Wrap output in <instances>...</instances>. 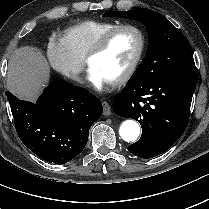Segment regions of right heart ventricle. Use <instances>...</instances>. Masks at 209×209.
<instances>
[{
    "instance_id": "right-heart-ventricle-1",
    "label": "right heart ventricle",
    "mask_w": 209,
    "mask_h": 209,
    "mask_svg": "<svg viewBox=\"0 0 209 209\" xmlns=\"http://www.w3.org/2000/svg\"><path fill=\"white\" fill-rule=\"evenodd\" d=\"M119 23L108 20L88 19L72 24L64 29L63 37L72 51L84 59L95 42L109 29Z\"/></svg>"
}]
</instances>
